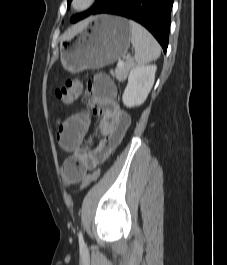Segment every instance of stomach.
<instances>
[{"label": "stomach", "mask_w": 227, "mask_h": 265, "mask_svg": "<svg viewBox=\"0 0 227 265\" xmlns=\"http://www.w3.org/2000/svg\"><path fill=\"white\" fill-rule=\"evenodd\" d=\"M131 35L125 18L98 15L76 39L61 43L62 65L67 71L78 73L112 64L127 52Z\"/></svg>", "instance_id": "1"}]
</instances>
